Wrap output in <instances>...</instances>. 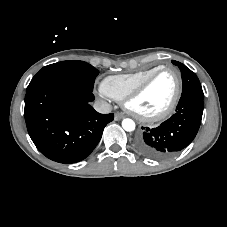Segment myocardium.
Masks as SVG:
<instances>
[{"label": "myocardium", "mask_w": 227, "mask_h": 227, "mask_svg": "<svg viewBox=\"0 0 227 227\" xmlns=\"http://www.w3.org/2000/svg\"><path fill=\"white\" fill-rule=\"evenodd\" d=\"M166 71L174 72L177 77L176 92L170 104L163 111L153 115H144L134 110L131 106L132 102L148 88V86L152 83V81L156 77H158L160 74ZM182 91H183V81H182V76L180 71L175 67L164 66L156 70L152 74H150L141 83H139L134 89H132L127 94V96L123 99V105H124V108L138 120L147 122V123H155L168 118L174 112L181 98Z\"/></svg>", "instance_id": "1"}]
</instances>
